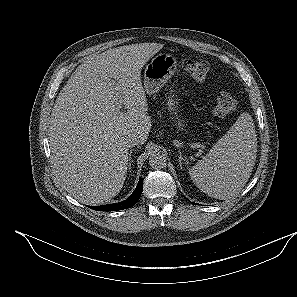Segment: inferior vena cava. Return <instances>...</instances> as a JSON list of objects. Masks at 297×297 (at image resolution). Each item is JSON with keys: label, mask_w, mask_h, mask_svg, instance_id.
I'll list each match as a JSON object with an SVG mask.
<instances>
[{"label": "inferior vena cava", "mask_w": 297, "mask_h": 297, "mask_svg": "<svg viewBox=\"0 0 297 297\" xmlns=\"http://www.w3.org/2000/svg\"><path fill=\"white\" fill-rule=\"evenodd\" d=\"M141 143L140 137L136 134H130L125 139V144L127 147H135Z\"/></svg>", "instance_id": "602c4592"}]
</instances>
